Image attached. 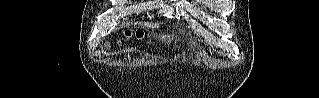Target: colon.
Returning <instances> with one entry per match:
<instances>
[{"label": "colon", "mask_w": 319, "mask_h": 98, "mask_svg": "<svg viewBox=\"0 0 319 98\" xmlns=\"http://www.w3.org/2000/svg\"><path fill=\"white\" fill-rule=\"evenodd\" d=\"M143 36H144V34H143L142 31H137V32H135L134 34H133L132 32H130V31H127V32H126V37H127V39H130V38H132V37H135V38H137V39H142Z\"/></svg>", "instance_id": "colon-1"}]
</instances>
